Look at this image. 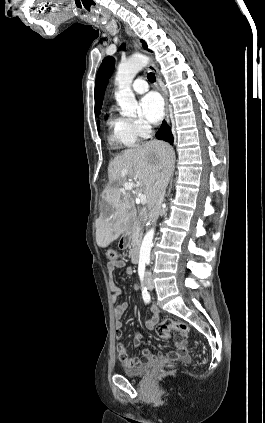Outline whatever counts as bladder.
<instances>
[{
    "instance_id": "bladder-1",
    "label": "bladder",
    "mask_w": 265,
    "mask_h": 423,
    "mask_svg": "<svg viewBox=\"0 0 265 423\" xmlns=\"http://www.w3.org/2000/svg\"><path fill=\"white\" fill-rule=\"evenodd\" d=\"M149 366V364H143L136 368L126 367L122 369V374L128 377H137L144 374L148 370Z\"/></svg>"
}]
</instances>
